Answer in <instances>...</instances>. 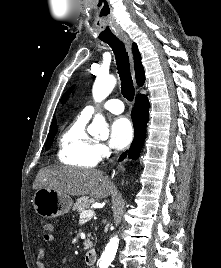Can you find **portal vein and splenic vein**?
Instances as JSON below:
<instances>
[{
	"label": "portal vein and splenic vein",
	"mask_w": 221,
	"mask_h": 268,
	"mask_svg": "<svg viewBox=\"0 0 221 268\" xmlns=\"http://www.w3.org/2000/svg\"><path fill=\"white\" fill-rule=\"evenodd\" d=\"M94 216V211L91 209L84 210L80 213V219L89 220Z\"/></svg>",
	"instance_id": "obj_1"
}]
</instances>
